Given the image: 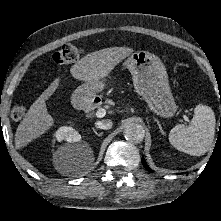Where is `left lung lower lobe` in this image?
<instances>
[{
	"instance_id": "0a47b994",
	"label": "left lung lower lobe",
	"mask_w": 221,
	"mask_h": 221,
	"mask_svg": "<svg viewBox=\"0 0 221 221\" xmlns=\"http://www.w3.org/2000/svg\"><path fill=\"white\" fill-rule=\"evenodd\" d=\"M142 164L144 165V167H145L147 170L151 171L150 168L148 167V165L146 164V162H145V160H144L143 157H142Z\"/></svg>"
}]
</instances>
